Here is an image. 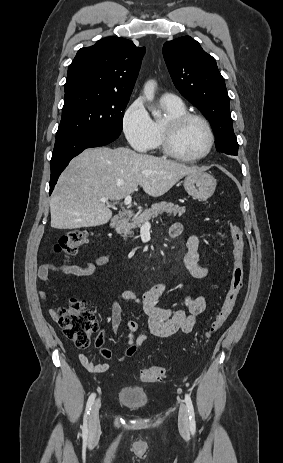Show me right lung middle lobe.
I'll return each instance as SVG.
<instances>
[{
	"label": "right lung middle lobe",
	"mask_w": 283,
	"mask_h": 463,
	"mask_svg": "<svg viewBox=\"0 0 283 463\" xmlns=\"http://www.w3.org/2000/svg\"><path fill=\"white\" fill-rule=\"evenodd\" d=\"M129 98L77 92L65 98L56 139L83 132L120 135Z\"/></svg>",
	"instance_id": "obj_1"
}]
</instances>
